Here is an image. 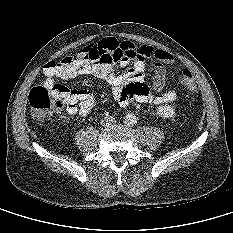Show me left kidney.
Instances as JSON below:
<instances>
[{"label":"left kidney","mask_w":233,"mask_h":233,"mask_svg":"<svg viewBox=\"0 0 233 233\" xmlns=\"http://www.w3.org/2000/svg\"><path fill=\"white\" fill-rule=\"evenodd\" d=\"M157 114L163 118H172L175 115L174 108L170 105L160 106L157 110Z\"/></svg>","instance_id":"5707ae66"}]
</instances>
